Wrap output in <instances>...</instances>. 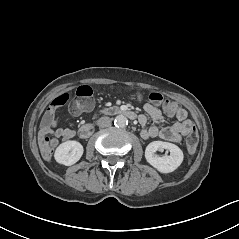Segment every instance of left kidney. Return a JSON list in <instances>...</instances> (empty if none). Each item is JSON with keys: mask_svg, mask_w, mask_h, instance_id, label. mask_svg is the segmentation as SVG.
I'll list each match as a JSON object with an SVG mask.
<instances>
[{"mask_svg": "<svg viewBox=\"0 0 239 239\" xmlns=\"http://www.w3.org/2000/svg\"><path fill=\"white\" fill-rule=\"evenodd\" d=\"M167 149L169 156H157L155 151ZM146 161L160 173H171L175 171L183 162V151L175 144L162 141L151 142L145 150Z\"/></svg>", "mask_w": 239, "mask_h": 239, "instance_id": "obj_1", "label": "left kidney"}]
</instances>
